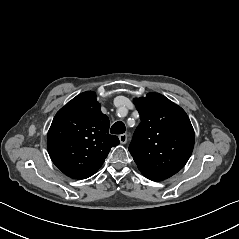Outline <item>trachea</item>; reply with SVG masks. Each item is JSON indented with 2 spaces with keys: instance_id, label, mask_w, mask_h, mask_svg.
<instances>
[{
  "instance_id": "3493384b",
  "label": "trachea",
  "mask_w": 239,
  "mask_h": 239,
  "mask_svg": "<svg viewBox=\"0 0 239 239\" xmlns=\"http://www.w3.org/2000/svg\"><path fill=\"white\" fill-rule=\"evenodd\" d=\"M125 131H126L125 124L121 121L114 123L110 130L112 134H123Z\"/></svg>"
}]
</instances>
